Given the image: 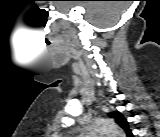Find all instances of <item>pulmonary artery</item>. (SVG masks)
Listing matches in <instances>:
<instances>
[{
    "mask_svg": "<svg viewBox=\"0 0 160 137\" xmlns=\"http://www.w3.org/2000/svg\"><path fill=\"white\" fill-rule=\"evenodd\" d=\"M78 137H102L101 134H98L97 132H87L85 134H81Z\"/></svg>",
    "mask_w": 160,
    "mask_h": 137,
    "instance_id": "1",
    "label": "pulmonary artery"
}]
</instances>
